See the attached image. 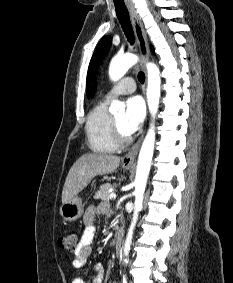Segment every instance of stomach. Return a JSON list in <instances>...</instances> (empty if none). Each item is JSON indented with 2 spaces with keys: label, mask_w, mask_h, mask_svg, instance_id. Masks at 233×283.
I'll use <instances>...</instances> for the list:
<instances>
[{
  "label": "stomach",
  "mask_w": 233,
  "mask_h": 283,
  "mask_svg": "<svg viewBox=\"0 0 233 283\" xmlns=\"http://www.w3.org/2000/svg\"><path fill=\"white\" fill-rule=\"evenodd\" d=\"M130 164H122L123 169H130ZM84 211V205L80 197L75 196L70 201L63 203L60 207V215L62 218L68 222L75 221L79 219Z\"/></svg>",
  "instance_id": "obj_1"
}]
</instances>
